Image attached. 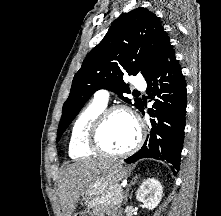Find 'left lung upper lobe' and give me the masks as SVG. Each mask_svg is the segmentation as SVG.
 <instances>
[{
	"label": "left lung upper lobe",
	"instance_id": "1",
	"mask_svg": "<svg viewBox=\"0 0 221 216\" xmlns=\"http://www.w3.org/2000/svg\"><path fill=\"white\" fill-rule=\"evenodd\" d=\"M167 42L169 38L159 18L146 8L139 7L115 20L74 76L70 95L63 105L56 141L97 90H111L131 103L123 96L130 93L123 76L141 73L145 77ZM134 105L140 109L143 104L135 99Z\"/></svg>",
	"mask_w": 221,
	"mask_h": 216
}]
</instances>
